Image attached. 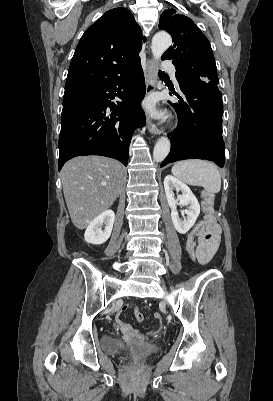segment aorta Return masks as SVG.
<instances>
[{"label":"aorta","instance_id":"762f6f07","mask_svg":"<svg viewBox=\"0 0 273 401\" xmlns=\"http://www.w3.org/2000/svg\"><path fill=\"white\" fill-rule=\"evenodd\" d=\"M172 43L171 36L166 32H158L152 39L151 49L155 61L159 60ZM170 152V141L167 137H161L155 144L153 158L156 162H162Z\"/></svg>","mask_w":273,"mask_h":401}]
</instances>
